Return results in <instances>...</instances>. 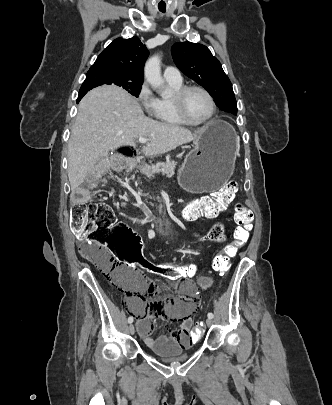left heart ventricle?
Returning a JSON list of instances; mask_svg holds the SVG:
<instances>
[{"label":"left heart ventricle","mask_w":332,"mask_h":405,"mask_svg":"<svg viewBox=\"0 0 332 405\" xmlns=\"http://www.w3.org/2000/svg\"><path fill=\"white\" fill-rule=\"evenodd\" d=\"M211 109L210 100L201 91L192 90L187 94L185 110L191 120L200 121L205 119L209 116Z\"/></svg>","instance_id":"b2bd125f"}]
</instances>
